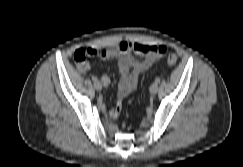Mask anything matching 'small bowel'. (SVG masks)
<instances>
[{
  "instance_id": "c3829d8e",
  "label": "small bowel",
  "mask_w": 243,
  "mask_h": 167,
  "mask_svg": "<svg viewBox=\"0 0 243 167\" xmlns=\"http://www.w3.org/2000/svg\"><path fill=\"white\" fill-rule=\"evenodd\" d=\"M90 49V56H98L102 59L118 58V70L121 78L118 84V101L109 113L113 119L119 117L121 112L120 100L134 91L140 75L150 69L167 52L166 46H156L148 43L132 44L126 41H122L116 47L109 49ZM86 68L87 64L84 69ZM101 82L107 88L110 84V78L103 75Z\"/></svg>"
}]
</instances>
